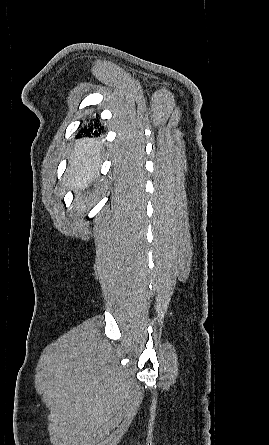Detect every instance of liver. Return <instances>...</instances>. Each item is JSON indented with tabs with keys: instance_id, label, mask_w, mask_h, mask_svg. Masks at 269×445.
Segmentation results:
<instances>
[{
	"instance_id": "6515ba94",
	"label": "liver",
	"mask_w": 269,
	"mask_h": 445,
	"mask_svg": "<svg viewBox=\"0 0 269 445\" xmlns=\"http://www.w3.org/2000/svg\"><path fill=\"white\" fill-rule=\"evenodd\" d=\"M100 150L101 143L94 139H82L75 144L65 181L69 189H84L95 180Z\"/></svg>"
}]
</instances>
